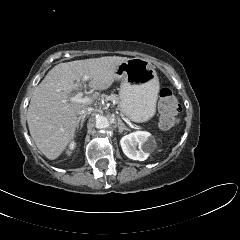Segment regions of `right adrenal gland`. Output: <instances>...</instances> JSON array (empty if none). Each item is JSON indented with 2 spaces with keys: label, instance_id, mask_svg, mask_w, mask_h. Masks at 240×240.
Wrapping results in <instances>:
<instances>
[{
  "label": "right adrenal gland",
  "instance_id": "2a0ac1e0",
  "mask_svg": "<svg viewBox=\"0 0 240 240\" xmlns=\"http://www.w3.org/2000/svg\"><path fill=\"white\" fill-rule=\"evenodd\" d=\"M84 121H85V116L78 118L77 132L78 130H82Z\"/></svg>",
  "mask_w": 240,
  "mask_h": 240
}]
</instances>
